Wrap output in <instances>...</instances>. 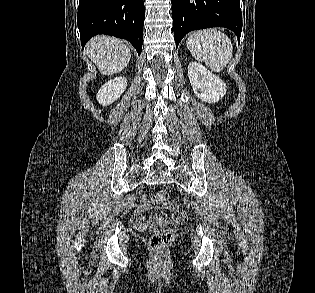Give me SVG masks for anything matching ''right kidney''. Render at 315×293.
<instances>
[{
    "instance_id": "obj_1",
    "label": "right kidney",
    "mask_w": 315,
    "mask_h": 293,
    "mask_svg": "<svg viewBox=\"0 0 315 293\" xmlns=\"http://www.w3.org/2000/svg\"><path fill=\"white\" fill-rule=\"evenodd\" d=\"M127 87V79L125 77H116L105 83L96 95L97 101L107 106L116 101Z\"/></svg>"
}]
</instances>
